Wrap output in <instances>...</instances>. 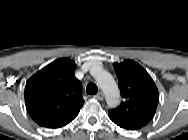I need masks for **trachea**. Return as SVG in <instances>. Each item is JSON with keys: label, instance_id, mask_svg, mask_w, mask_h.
<instances>
[{"label": "trachea", "instance_id": "1", "mask_svg": "<svg viewBox=\"0 0 188 140\" xmlns=\"http://www.w3.org/2000/svg\"><path fill=\"white\" fill-rule=\"evenodd\" d=\"M86 92L89 95H94L98 92V88L96 86V84L94 83H89L86 87Z\"/></svg>", "mask_w": 188, "mask_h": 140}]
</instances>
